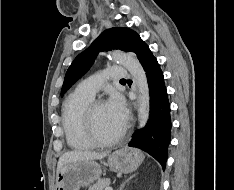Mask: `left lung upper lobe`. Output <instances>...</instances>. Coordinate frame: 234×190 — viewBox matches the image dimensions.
Masks as SVG:
<instances>
[{
  "instance_id": "5c2ea615",
  "label": "left lung upper lobe",
  "mask_w": 234,
  "mask_h": 190,
  "mask_svg": "<svg viewBox=\"0 0 234 190\" xmlns=\"http://www.w3.org/2000/svg\"><path fill=\"white\" fill-rule=\"evenodd\" d=\"M146 44L140 36L129 28L114 27L106 29L68 68L61 90V96L84 75L101 51L120 49L125 52H137Z\"/></svg>"
}]
</instances>
